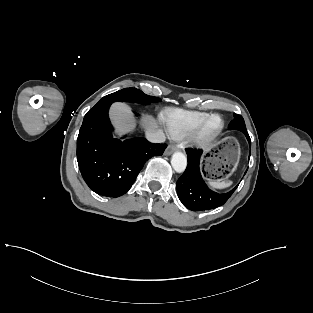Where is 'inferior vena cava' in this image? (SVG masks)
Instances as JSON below:
<instances>
[{"label": "inferior vena cava", "mask_w": 313, "mask_h": 313, "mask_svg": "<svg viewBox=\"0 0 313 313\" xmlns=\"http://www.w3.org/2000/svg\"><path fill=\"white\" fill-rule=\"evenodd\" d=\"M146 138L152 143H163L165 141V134L161 130H147Z\"/></svg>", "instance_id": "602c4592"}]
</instances>
